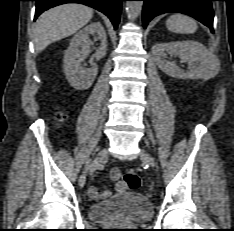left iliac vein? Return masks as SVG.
I'll return each mask as SVG.
<instances>
[{"label":"left iliac vein","mask_w":234,"mask_h":231,"mask_svg":"<svg viewBox=\"0 0 234 231\" xmlns=\"http://www.w3.org/2000/svg\"><path fill=\"white\" fill-rule=\"evenodd\" d=\"M140 157L141 159L146 162L148 165H150L152 168L155 167V160L154 158L144 149L140 151Z\"/></svg>","instance_id":"4c4485c4"}]
</instances>
